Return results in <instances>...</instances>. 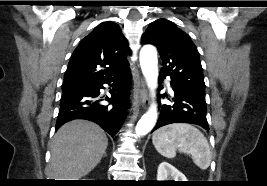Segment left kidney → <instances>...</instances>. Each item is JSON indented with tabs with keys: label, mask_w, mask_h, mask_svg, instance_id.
<instances>
[{
	"label": "left kidney",
	"mask_w": 267,
	"mask_h": 186,
	"mask_svg": "<svg viewBox=\"0 0 267 186\" xmlns=\"http://www.w3.org/2000/svg\"><path fill=\"white\" fill-rule=\"evenodd\" d=\"M157 181H187L185 175L167 162L160 163L157 171Z\"/></svg>",
	"instance_id": "obj_1"
}]
</instances>
